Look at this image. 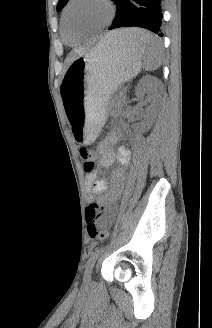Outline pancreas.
I'll list each match as a JSON object with an SVG mask.
<instances>
[{"mask_svg":"<svg viewBox=\"0 0 212 328\" xmlns=\"http://www.w3.org/2000/svg\"><path fill=\"white\" fill-rule=\"evenodd\" d=\"M124 100H125V98H124L123 94H120L119 96L115 97L112 100L111 106L114 107L115 109H118V108L122 107Z\"/></svg>","mask_w":212,"mask_h":328,"instance_id":"pancreas-1","label":"pancreas"}]
</instances>
